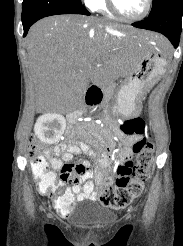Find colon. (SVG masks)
<instances>
[{
	"instance_id": "5ec220e1",
	"label": "colon",
	"mask_w": 183,
	"mask_h": 246,
	"mask_svg": "<svg viewBox=\"0 0 183 246\" xmlns=\"http://www.w3.org/2000/svg\"><path fill=\"white\" fill-rule=\"evenodd\" d=\"M144 126L143 119L134 117L124 120L120 125V130L127 135L143 134ZM134 151L137 154L136 162L130 160L124 162L118 166L113 180H103L99 197V201L103 206L117 210L123 209L142 193L144 184L149 177L154 144L150 139L143 138L135 143ZM29 153L39 189L52 195L57 187L56 175L48 169V163L37 143H31ZM60 179L64 182L69 181V178H61V176ZM55 206L58 210H61L71 208L73 204L70 200L58 196L55 198Z\"/></svg>"
}]
</instances>
